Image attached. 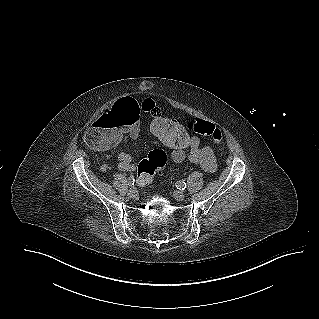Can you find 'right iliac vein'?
<instances>
[{
    "label": "right iliac vein",
    "instance_id": "63e3f726",
    "mask_svg": "<svg viewBox=\"0 0 319 319\" xmlns=\"http://www.w3.org/2000/svg\"><path fill=\"white\" fill-rule=\"evenodd\" d=\"M138 196V191L136 188H131L129 191H128V197L129 198H136Z\"/></svg>",
    "mask_w": 319,
    "mask_h": 319
}]
</instances>
